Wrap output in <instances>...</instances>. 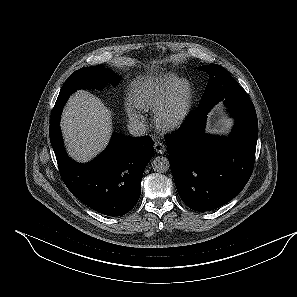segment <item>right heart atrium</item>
<instances>
[{"label":"right heart atrium","instance_id":"obj_1","mask_svg":"<svg viewBox=\"0 0 297 297\" xmlns=\"http://www.w3.org/2000/svg\"><path fill=\"white\" fill-rule=\"evenodd\" d=\"M126 113L129 117V119L137 124L141 123L143 121V116L132 103H127L125 106Z\"/></svg>","mask_w":297,"mask_h":297}]
</instances>
